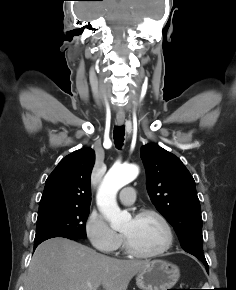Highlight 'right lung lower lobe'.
<instances>
[{"instance_id":"1","label":"right lung lower lobe","mask_w":236,"mask_h":290,"mask_svg":"<svg viewBox=\"0 0 236 290\" xmlns=\"http://www.w3.org/2000/svg\"><path fill=\"white\" fill-rule=\"evenodd\" d=\"M40 243H34V249L39 245Z\"/></svg>"}]
</instances>
